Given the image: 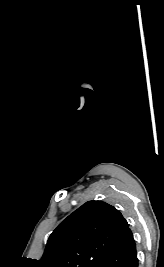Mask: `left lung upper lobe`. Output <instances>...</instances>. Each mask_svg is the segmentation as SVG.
<instances>
[{"mask_svg": "<svg viewBox=\"0 0 164 267\" xmlns=\"http://www.w3.org/2000/svg\"><path fill=\"white\" fill-rule=\"evenodd\" d=\"M128 226L113 206L88 201L53 231L37 264L39 267H99Z\"/></svg>", "mask_w": 164, "mask_h": 267, "instance_id": "5c2ea615", "label": "left lung upper lobe"}]
</instances>
